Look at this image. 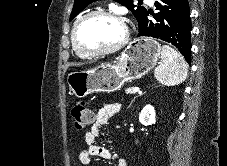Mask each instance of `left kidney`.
I'll return each instance as SVG.
<instances>
[{
    "label": "left kidney",
    "instance_id": "left-kidney-1",
    "mask_svg": "<svg viewBox=\"0 0 227 166\" xmlns=\"http://www.w3.org/2000/svg\"><path fill=\"white\" fill-rule=\"evenodd\" d=\"M139 121L142 125L148 126L155 124L156 114L152 105H146L139 114Z\"/></svg>",
    "mask_w": 227,
    "mask_h": 166
}]
</instances>
